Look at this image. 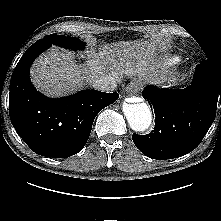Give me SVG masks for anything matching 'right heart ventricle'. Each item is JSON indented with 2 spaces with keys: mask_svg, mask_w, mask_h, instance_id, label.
Returning a JSON list of instances; mask_svg holds the SVG:
<instances>
[{
  "mask_svg": "<svg viewBox=\"0 0 221 221\" xmlns=\"http://www.w3.org/2000/svg\"><path fill=\"white\" fill-rule=\"evenodd\" d=\"M179 62H180V59L179 57H176V56H170L165 59V64L168 66L176 65Z\"/></svg>",
  "mask_w": 221,
  "mask_h": 221,
  "instance_id": "1",
  "label": "right heart ventricle"
}]
</instances>
